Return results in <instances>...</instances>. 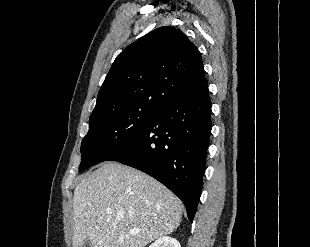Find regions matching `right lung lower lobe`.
<instances>
[{
	"mask_svg": "<svg viewBox=\"0 0 310 247\" xmlns=\"http://www.w3.org/2000/svg\"><path fill=\"white\" fill-rule=\"evenodd\" d=\"M211 134L208 85L160 109L138 135L107 161H117L152 176L185 204L192 222L202 191Z\"/></svg>",
	"mask_w": 310,
	"mask_h": 247,
	"instance_id": "right-lung-lower-lobe-1",
	"label": "right lung lower lobe"
}]
</instances>
